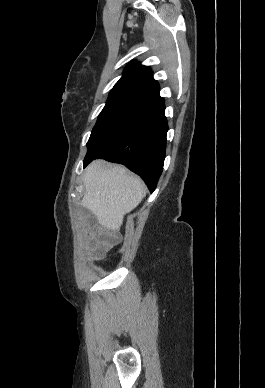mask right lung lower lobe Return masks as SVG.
I'll return each mask as SVG.
<instances>
[{"instance_id":"98d812e1","label":"right lung lower lobe","mask_w":265,"mask_h":388,"mask_svg":"<svg viewBox=\"0 0 265 388\" xmlns=\"http://www.w3.org/2000/svg\"><path fill=\"white\" fill-rule=\"evenodd\" d=\"M164 112L163 98L150 101L88 153L84 167L96 158L124 164L141 176L153 192L165 159L168 126Z\"/></svg>"}]
</instances>
